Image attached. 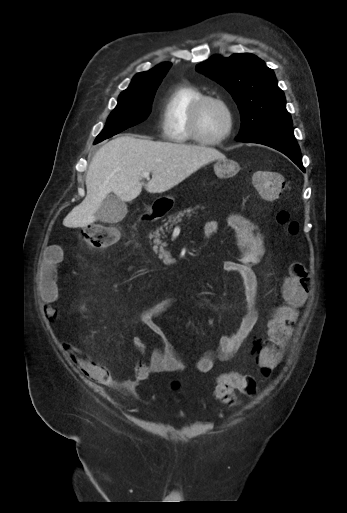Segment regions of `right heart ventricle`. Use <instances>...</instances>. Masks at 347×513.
Here are the masks:
<instances>
[{
    "instance_id": "right-heart-ventricle-1",
    "label": "right heart ventricle",
    "mask_w": 347,
    "mask_h": 513,
    "mask_svg": "<svg viewBox=\"0 0 347 513\" xmlns=\"http://www.w3.org/2000/svg\"><path fill=\"white\" fill-rule=\"evenodd\" d=\"M204 92L183 82L167 95L162 110V133L166 139L178 144L194 142L189 131V115L196 101Z\"/></svg>"
}]
</instances>
